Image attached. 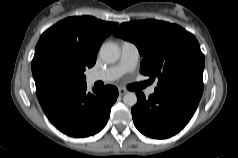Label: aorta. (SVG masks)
Masks as SVG:
<instances>
[{
    "label": "aorta",
    "mask_w": 238,
    "mask_h": 158,
    "mask_svg": "<svg viewBox=\"0 0 238 158\" xmlns=\"http://www.w3.org/2000/svg\"><path fill=\"white\" fill-rule=\"evenodd\" d=\"M101 59L106 63H115L120 57V50L114 43H105L99 51ZM123 102L127 106H134L137 103V96L134 92H128L123 97Z\"/></svg>",
    "instance_id": "1"
}]
</instances>
